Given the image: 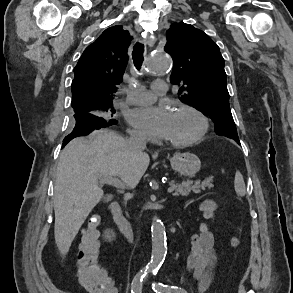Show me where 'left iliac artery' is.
<instances>
[{
  "label": "left iliac artery",
  "instance_id": "44dca946",
  "mask_svg": "<svg viewBox=\"0 0 293 293\" xmlns=\"http://www.w3.org/2000/svg\"><path fill=\"white\" fill-rule=\"evenodd\" d=\"M158 269L152 270L153 275H156ZM152 289L155 293H187L183 288L177 286H169L161 282H153Z\"/></svg>",
  "mask_w": 293,
  "mask_h": 293
}]
</instances>
